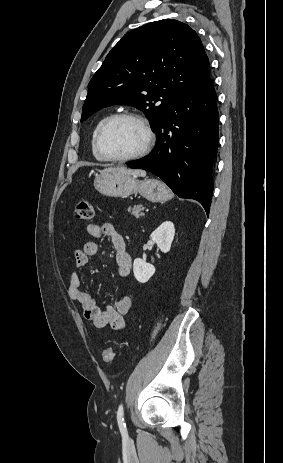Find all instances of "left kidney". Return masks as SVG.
Returning a JSON list of instances; mask_svg holds the SVG:
<instances>
[{
    "mask_svg": "<svg viewBox=\"0 0 283 463\" xmlns=\"http://www.w3.org/2000/svg\"><path fill=\"white\" fill-rule=\"evenodd\" d=\"M174 235V224L171 221H165L152 232L150 238L163 253H167L170 251ZM133 272L138 282L146 283L154 275L155 267L141 258H136L133 263Z\"/></svg>",
    "mask_w": 283,
    "mask_h": 463,
    "instance_id": "obj_1",
    "label": "left kidney"
}]
</instances>
